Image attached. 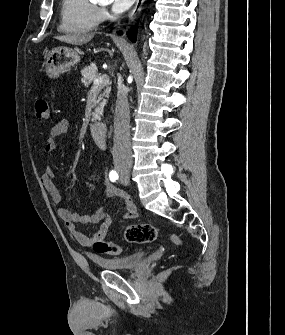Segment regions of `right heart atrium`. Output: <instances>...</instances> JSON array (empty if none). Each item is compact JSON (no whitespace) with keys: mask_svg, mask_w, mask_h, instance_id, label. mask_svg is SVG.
<instances>
[{"mask_svg":"<svg viewBox=\"0 0 285 335\" xmlns=\"http://www.w3.org/2000/svg\"><path fill=\"white\" fill-rule=\"evenodd\" d=\"M95 16L97 18L98 23H101V22L106 20V18L108 16V10H107V7L103 3H101L97 7V9L95 11Z\"/></svg>","mask_w":285,"mask_h":335,"instance_id":"obj_1","label":"right heart atrium"}]
</instances>
